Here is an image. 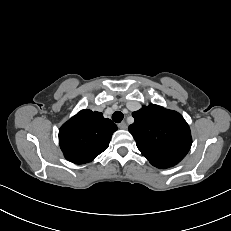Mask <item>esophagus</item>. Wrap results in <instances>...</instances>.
<instances>
[{
  "label": "esophagus",
  "instance_id": "obj_1",
  "mask_svg": "<svg viewBox=\"0 0 231 231\" xmlns=\"http://www.w3.org/2000/svg\"><path fill=\"white\" fill-rule=\"evenodd\" d=\"M118 127L124 130V129H127V124L125 122H121L118 124Z\"/></svg>",
  "mask_w": 231,
  "mask_h": 231
}]
</instances>
